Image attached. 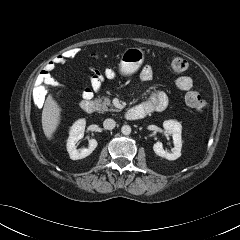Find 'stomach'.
<instances>
[{"instance_id": "stomach-1", "label": "stomach", "mask_w": 240, "mask_h": 240, "mask_svg": "<svg viewBox=\"0 0 240 240\" xmlns=\"http://www.w3.org/2000/svg\"><path fill=\"white\" fill-rule=\"evenodd\" d=\"M145 59V52L138 47L127 48L120 57L119 71L122 75L135 73Z\"/></svg>"}]
</instances>
